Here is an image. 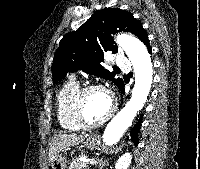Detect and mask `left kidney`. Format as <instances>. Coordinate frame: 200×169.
Instances as JSON below:
<instances>
[{"mask_svg":"<svg viewBox=\"0 0 200 169\" xmlns=\"http://www.w3.org/2000/svg\"><path fill=\"white\" fill-rule=\"evenodd\" d=\"M132 160L130 153L123 154L116 162L115 169H128Z\"/></svg>","mask_w":200,"mask_h":169,"instance_id":"left-kidney-1","label":"left kidney"}]
</instances>
